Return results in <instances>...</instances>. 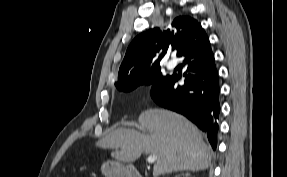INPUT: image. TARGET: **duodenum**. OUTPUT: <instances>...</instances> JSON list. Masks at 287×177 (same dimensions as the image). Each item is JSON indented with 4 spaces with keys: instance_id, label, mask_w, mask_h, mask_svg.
I'll return each mask as SVG.
<instances>
[{
    "instance_id": "1",
    "label": "duodenum",
    "mask_w": 287,
    "mask_h": 177,
    "mask_svg": "<svg viewBox=\"0 0 287 177\" xmlns=\"http://www.w3.org/2000/svg\"><path fill=\"white\" fill-rule=\"evenodd\" d=\"M114 175H122L123 177H143L139 174L135 167L125 166L122 169L112 171Z\"/></svg>"
}]
</instances>
